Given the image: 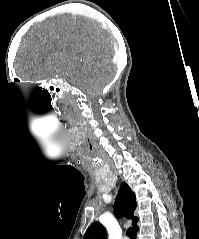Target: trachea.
Here are the masks:
<instances>
[{"label": "trachea", "instance_id": "obj_1", "mask_svg": "<svg viewBox=\"0 0 199 239\" xmlns=\"http://www.w3.org/2000/svg\"><path fill=\"white\" fill-rule=\"evenodd\" d=\"M127 236L130 238V239H134V231H133V228H128L127 229Z\"/></svg>", "mask_w": 199, "mask_h": 239}]
</instances>
